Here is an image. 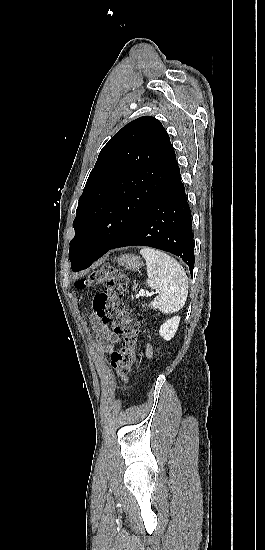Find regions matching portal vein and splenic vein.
Masks as SVG:
<instances>
[{"instance_id":"18ae733b","label":"portal vein and splenic vein","mask_w":265,"mask_h":550,"mask_svg":"<svg viewBox=\"0 0 265 550\" xmlns=\"http://www.w3.org/2000/svg\"><path fill=\"white\" fill-rule=\"evenodd\" d=\"M140 295H141V296H145L146 294H145L144 291H142V292H140Z\"/></svg>"}]
</instances>
